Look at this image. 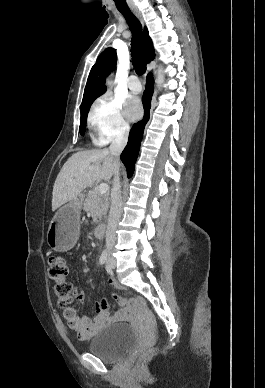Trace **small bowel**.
<instances>
[{"label": "small bowel", "instance_id": "c3829d8e", "mask_svg": "<svg viewBox=\"0 0 265 388\" xmlns=\"http://www.w3.org/2000/svg\"><path fill=\"white\" fill-rule=\"evenodd\" d=\"M109 284L116 290L113 298L116 301L123 303V298L121 297L122 288L112 277L109 279ZM74 297L78 302H82L85 298V294L82 290L74 288ZM95 310L96 316L93 319H89L86 317H80L73 307H64L63 318L66 321V326L62 325V328L64 329L67 327L81 340H89L101 328L111 322L120 320L122 317L120 314L110 313V303L108 301L97 302L95 305Z\"/></svg>", "mask_w": 265, "mask_h": 388}]
</instances>
